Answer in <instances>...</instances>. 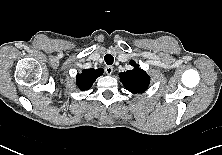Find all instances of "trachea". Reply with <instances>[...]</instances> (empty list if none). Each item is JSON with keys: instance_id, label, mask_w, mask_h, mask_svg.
I'll use <instances>...</instances> for the list:
<instances>
[{"instance_id": "3493384b", "label": "trachea", "mask_w": 222, "mask_h": 155, "mask_svg": "<svg viewBox=\"0 0 222 155\" xmlns=\"http://www.w3.org/2000/svg\"><path fill=\"white\" fill-rule=\"evenodd\" d=\"M104 60H105L107 65H112L113 62H114V58L111 54L105 55Z\"/></svg>"}]
</instances>
